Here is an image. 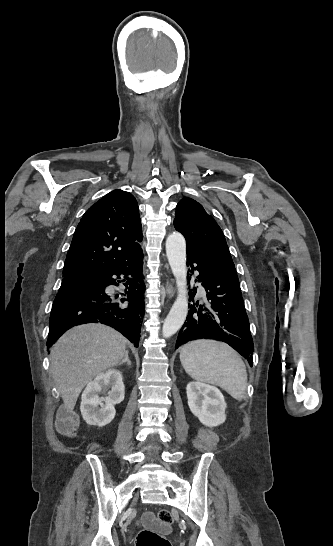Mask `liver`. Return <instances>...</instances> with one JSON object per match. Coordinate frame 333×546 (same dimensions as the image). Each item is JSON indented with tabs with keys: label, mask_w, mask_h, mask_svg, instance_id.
Masks as SVG:
<instances>
[{
	"label": "liver",
	"mask_w": 333,
	"mask_h": 546,
	"mask_svg": "<svg viewBox=\"0 0 333 546\" xmlns=\"http://www.w3.org/2000/svg\"><path fill=\"white\" fill-rule=\"evenodd\" d=\"M126 350V339L101 324L67 331L51 350V373L66 413H73L83 388L97 375L115 367Z\"/></svg>",
	"instance_id": "obj_1"
}]
</instances>
